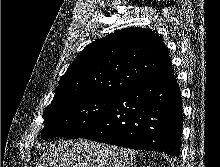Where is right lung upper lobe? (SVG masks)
Instances as JSON below:
<instances>
[{
	"mask_svg": "<svg viewBox=\"0 0 220 167\" xmlns=\"http://www.w3.org/2000/svg\"><path fill=\"white\" fill-rule=\"evenodd\" d=\"M171 73L168 50L155 32L122 29L84 48L60 79L53 100L74 94L117 95Z\"/></svg>",
	"mask_w": 220,
	"mask_h": 167,
	"instance_id": "right-lung-upper-lobe-1",
	"label": "right lung upper lobe"
}]
</instances>
